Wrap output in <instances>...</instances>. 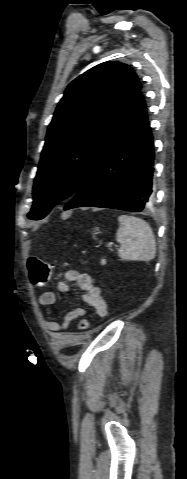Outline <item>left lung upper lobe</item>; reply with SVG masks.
I'll use <instances>...</instances> for the list:
<instances>
[{
    "mask_svg": "<svg viewBox=\"0 0 187 479\" xmlns=\"http://www.w3.org/2000/svg\"><path fill=\"white\" fill-rule=\"evenodd\" d=\"M140 89L133 69L117 61L70 83L48 127L28 218H44L78 191L118 138Z\"/></svg>",
    "mask_w": 187,
    "mask_h": 479,
    "instance_id": "left-lung-upper-lobe-1",
    "label": "left lung upper lobe"
}]
</instances>
